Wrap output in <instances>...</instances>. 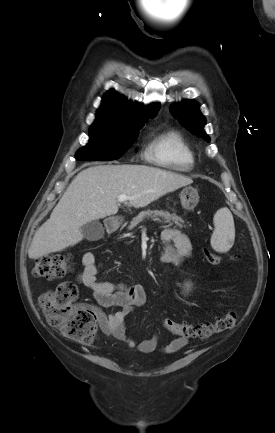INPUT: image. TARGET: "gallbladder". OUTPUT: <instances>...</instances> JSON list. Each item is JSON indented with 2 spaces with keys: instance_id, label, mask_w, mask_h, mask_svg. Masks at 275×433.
Listing matches in <instances>:
<instances>
[{
  "instance_id": "gallbladder-1",
  "label": "gallbladder",
  "mask_w": 275,
  "mask_h": 433,
  "mask_svg": "<svg viewBox=\"0 0 275 433\" xmlns=\"http://www.w3.org/2000/svg\"><path fill=\"white\" fill-rule=\"evenodd\" d=\"M81 232L88 241H97L104 235V228L98 221H91L81 227Z\"/></svg>"
}]
</instances>
